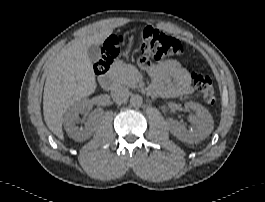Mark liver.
<instances>
[{
	"label": "liver",
	"instance_id": "obj_1",
	"mask_svg": "<svg viewBox=\"0 0 265 202\" xmlns=\"http://www.w3.org/2000/svg\"><path fill=\"white\" fill-rule=\"evenodd\" d=\"M112 30L75 40L52 60L43 94V115L48 128L59 138L63 136V116L77 101L93 94L97 84L87 50L102 44Z\"/></svg>",
	"mask_w": 265,
	"mask_h": 202
}]
</instances>
